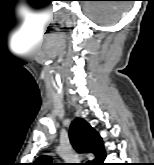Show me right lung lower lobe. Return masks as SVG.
Returning a JSON list of instances; mask_svg holds the SVG:
<instances>
[{
    "mask_svg": "<svg viewBox=\"0 0 154 165\" xmlns=\"http://www.w3.org/2000/svg\"><path fill=\"white\" fill-rule=\"evenodd\" d=\"M104 159H105V150H104L103 144H102L100 146L98 154L96 155V158L93 160L91 165H105V163H103Z\"/></svg>",
    "mask_w": 154,
    "mask_h": 165,
    "instance_id": "1",
    "label": "right lung lower lobe"
}]
</instances>
